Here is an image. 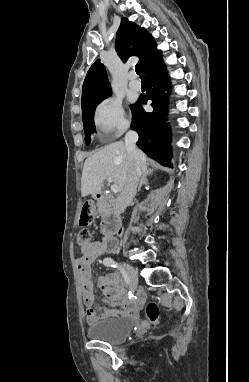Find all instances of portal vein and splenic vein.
Wrapping results in <instances>:
<instances>
[{"instance_id":"1","label":"portal vein and splenic vein","mask_w":249,"mask_h":382,"mask_svg":"<svg viewBox=\"0 0 249 382\" xmlns=\"http://www.w3.org/2000/svg\"><path fill=\"white\" fill-rule=\"evenodd\" d=\"M111 190L113 193L119 192V187L116 184L111 185Z\"/></svg>"}]
</instances>
